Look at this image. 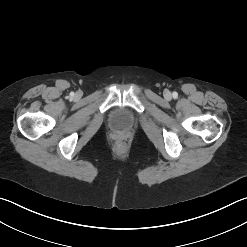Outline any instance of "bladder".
<instances>
[{
    "mask_svg": "<svg viewBox=\"0 0 247 247\" xmlns=\"http://www.w3.org/2000/svg\"><path fill=\"white\" fill-rule=\"evenodd\" d=\"M136 118L134 114L125 107L114 108L109 115V123L114 130L124 131L133 127Z\"/></svg>",
    "mask_w": 247,
    "mask_h": 247,
    "instance_id": "1",
    "label": "bladder"
}]
</instances>
